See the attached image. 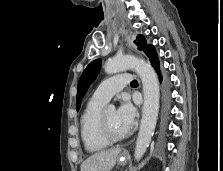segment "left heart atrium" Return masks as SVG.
Segmentation results:
<instances>
[{"mask_svg": "<svg viewBox=\"0 0 223 171\" xmlns=\"http://www.w3.org/2000/svg\"><path fill=\"white\" fill-rule=\"evenodd\" d=\"M116 117L118 123L121 125V127L127 132H129L134 124H135V118H136V110L134 106L125 99L118 110L116 111Z\"/></svg>", "mask_w": 223, "mask_h": 171, "instance_id": "left-heart-atrium-1", "label": "left heart atrium"}]
</instances>
